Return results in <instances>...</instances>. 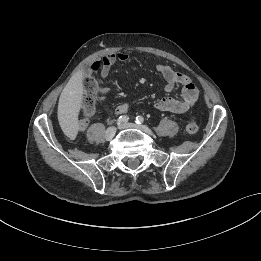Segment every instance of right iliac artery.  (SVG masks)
Segmentation results:
<instances>
[{"label":"right iliac artery","instance_id":"1","mask_svg":"<svg viewBox=\"0 0 261 261\" xmlns=\"http://www.w3.org/2000/svg\"><path fill=\"white\" fill-rule=\"evenodd\" d=\"M129 120V117L128 116H120L118 119H117V122L116 124L117 125H122V124H125L127 121Z\"/></svg>","mask_w":261,"mask_h":261}]
</instances>
